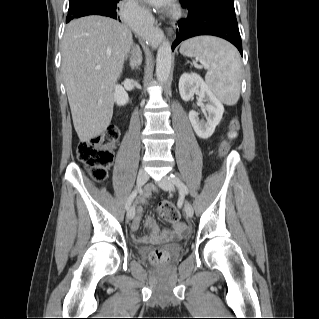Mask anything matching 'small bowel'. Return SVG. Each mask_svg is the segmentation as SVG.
Segmentation results:
<instances>
[{"mask_svg": "<svg viewBox=\"0 0 319 319\" xmlns=\"http://www.w3.org/2000/svg\"><path fill=\"white\" fill-rule=\"evenodd\" d=\"M139 202L140 203H145L146 202V197H140L139 198ZM142 213H143V210L141 207H138L136 209V216L132 222V225H131V229L133 231H136L138 228H139V225H140V221H141V217H142ZM146 229H147V232H148V236L147 237H140L138 238V241L140 242H143L145 241L146 239H153V238H156L158 235H159V229L157 227V225L151 220V219H147L146 221ZM174 232L175 233H185L186 230H187V226H186V223L183 222V221H180V220H177L174 222ZM165 235H172L174 233L172 232H164Z\"/></svg>", "mask_w": 319, "mask_h": 319, "instance_id": "c3829d8e", "label": "small bowel"}]
</instances>
